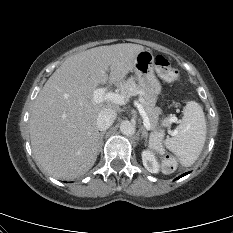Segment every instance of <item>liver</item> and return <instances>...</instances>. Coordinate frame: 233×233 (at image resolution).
Returning a JSON list of instances; mask_svg holds the SVG:
<instances>
[{"mask_svg":"<svg viewBox=\"0 0 233 233\" xmlns=\"http://www.w3.org/2000/svg\"><path fill=\"white\" fill-rule=\"evenodd\" d=\"M143 50L132 43L95 47L68 57L47 80L35 99L30 139L53 177L71 180L93 167L100 145L97 117L105 108L121 110L111 101L93 102V92L108 81L121 87Z\"/></svg>","mask_w":233,"mask_h":233,"instance_id":"obj_1","label":"liver"}]
</instances>
